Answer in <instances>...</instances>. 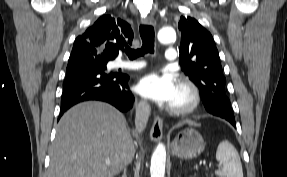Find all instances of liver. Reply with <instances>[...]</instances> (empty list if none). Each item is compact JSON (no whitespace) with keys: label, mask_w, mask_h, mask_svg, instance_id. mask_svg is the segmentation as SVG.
<instances>
[{"label":"liver","mask_w":287,"mask_h":177,"mask_svg":"<svg viewBox=\"0 0 287 177\" xmlns=\"http://www.w3.org/2000/svg\"><path fill=\"white\" fill-rule=\"evenodd\" d=\"M185 123L196 125L185 121L176 127ZM134 151L122 113L103 102L80 103L58 123L47 177H114L132 161Z\"/></svg>","instance_id":"obj_1"}]
</instances>
